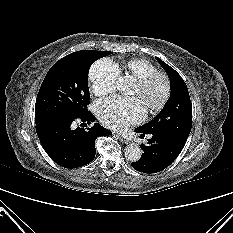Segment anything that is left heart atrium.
I'll list each match as a JSON object with an SVG mask.
<instances>
[{
    "label": "left heart atrium",
    "instance_id": "left-heart-atrium-1",
    "mask_svg": "<svg viewBox=\"0 0 233 233\" xmlns=\"http://www.w3.org/2000/svg\"><path fill=\"white\" fill-rule=\"evenodd\" d=\"M146 108L139 97L113 96L96 104V114L106 126L123 130L140 122L145 116Z\"/></svg>",
    "mask_w": 233,
    "mask_h": 233
}]
</instances>
